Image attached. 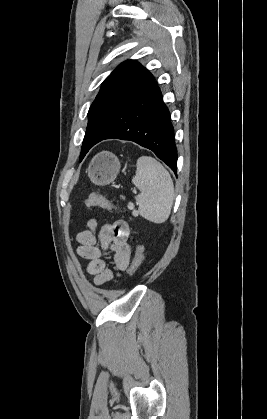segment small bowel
Segmentation results:
<instances>
[{
	"instance_id": "small-bowel-1",
	"label": "small bowel",
	"mask_w": 267,
	"mask_h": 419,
	"mask_svg": "<svg viewBox=\"0 0 267 419\" xmlns=\"http://www.w3.org/2000/svg\"><path fill=\"white\" fill-rule=\"evenodd\" d=\"M129 234V226L123 220L104 224L97 231L94 219L88 222L87 230L78 234L77 254L89 260L86 272L94 276L95 285L112 282L127 269L131 256ZM108 253H111V266L106 257Z\"/></svg>"
}]
</instances>
